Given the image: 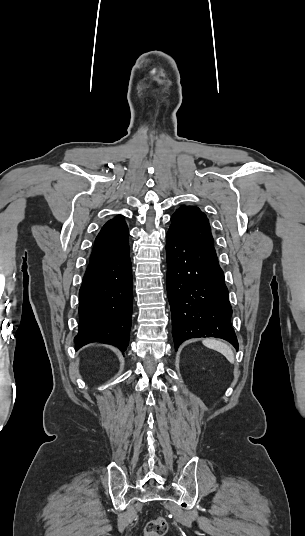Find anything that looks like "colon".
Wrapping results in <instances>:
<instances>
[{
  "label": "colon",
  "instance_id": "1",
  "mask_svg": "<svg viewBox=\"0 0 305 536\" xmlns=\"http://www.w3.org/2000/svg\"><path fill=\"white\" fill-rule=\"evenodd\" d=\"M167 521L163 517L151 520L144 529V536H165Z\"/></svg>",
  "mask_w": 305,
  "mask_h": 536
}]
</instances>
